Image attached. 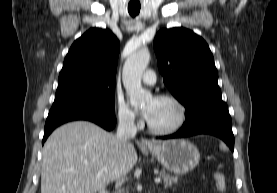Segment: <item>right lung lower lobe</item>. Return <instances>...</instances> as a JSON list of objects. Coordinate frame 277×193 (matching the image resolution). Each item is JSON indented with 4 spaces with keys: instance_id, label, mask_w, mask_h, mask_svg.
Listing matches in <instances>:
<instances>
[{
    "instance_id": "1",
    "label": "right lung lower lobe",
    "mask_w": 277,
    "mask_h": 193,
    "mask_svg": "<svg viewBox=\"0 0 277 193\" xmlns=\"http://www.w3.org/2000/svg\"><path fill=\"white\" fill-rule=\"evenodd\" d=\"M74 120H88L106 130H112L116 125L114 115L98 109L78 104L53 103L46 120L42 144L56 127Z\"/></svg>"
}]
</instances>
